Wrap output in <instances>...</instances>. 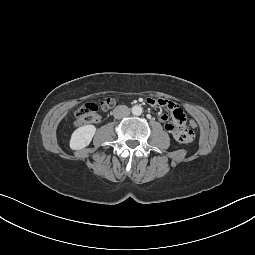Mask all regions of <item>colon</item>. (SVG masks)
<instances>
[{
    "mask_svg": "<svg viewBox=\"0 0 255 255\" xmlns=\"http://www.w3.org/2000/svg\"><path fill=\"white\" fill-rule=\"evenodd\" d=\"M113 98H106L100 103H86L82 105L75 114V125L82 126L89 123H97L101 120V111H106L114 105ZM192 130L198 129V124L194 119L188 120Z\"/></svg>",
    "mask_w": 255,
    "mask_h": 255,
    "instance_id": "1",
    "label": "colon"
}]
</instances>
